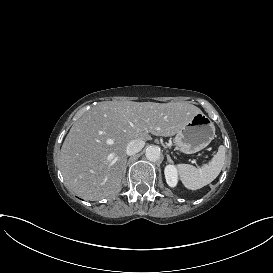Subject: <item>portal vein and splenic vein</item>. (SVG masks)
I'll return each mask as SVG.
<instances>
[{
    "label": "portal vein and splenic vein",
    "mask_w": 273,
    "mask_h": 273,
    "mask_svg": "<svg viewBox=\"0 0 273 273\" xmlns=\"http://www.w3.org/2000/svg\"><path fill=\"white\" fill-rule=\"evenodd\" d=\"M192 162L194 163V164H196L197 165V167L200 169V166H199V164L197 163V160L196 159H192Z\"/></svg>",
    "instance_id": "obj_1"
}]
</instances>
